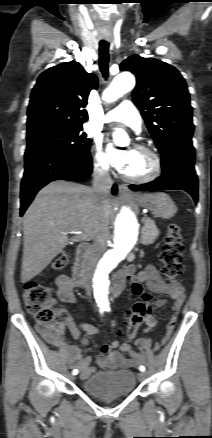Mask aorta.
Masks as SVG:
<instances>
[{"label":"aorta","instance_id":"obj_1","mask_svg":"<svg viewBox=\"0 0 212 438\" xmlns=\"http://www.w3.org/2000/svg\"><path fill=\"white\" fill-rule=\"evenodd\" d=\"M135 86L131 73L117 75L104 91L103 99L114 102ZM139 238V224L135 213L129 207H123L115 218L114 247L108 250L90 275L89 283L100 306L109 305L110 272L123 261L133 249Z\"/></svg>","mask_w":212,"mask_h":438}]
</instances>
